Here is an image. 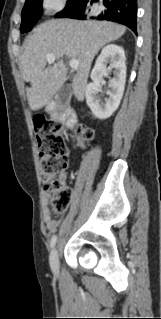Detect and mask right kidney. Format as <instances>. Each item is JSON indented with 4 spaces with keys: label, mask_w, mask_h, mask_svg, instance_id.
Wrapping results in <instances>:
<instances>
[{
    "label": "right kidney",
    "mask_w": 161,
    "mask_h": 319,
    "mask_svg": "<svg viewBox=\"0 0 161 319\" xmlns=\"http://www.w3.org/2000/svg\"><path fill=\"white\" fill-rule=\"evenodd\" d=\"M125 60L123 48L115 44L105 46L96 59L91 72L93 83L87 85L85 96L90 110L99 119L109 118L120 105L126 82ZM107 64H109L108 67ZM112 70H114V77L109 79L108 87L110 90L106 93L108 98H105L103 102L98 95L101 91L103 75L110 73Z\"/></svg>",
    "instance_id": "right-kidney-1"
}]
</instances>
